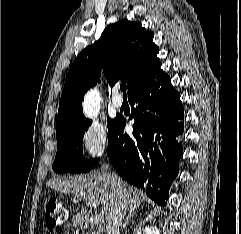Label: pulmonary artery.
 I'll list each match as a JSON object with an SVG mask.
<instances>
[{
  "mask_svg": "<svg viewBox=\"0 0 241 234\" xmlns=\"http://www.w3.org/2000/svg\"><path fill=\"white\" fill-rule=\"evenodd\" d=\"M111 101H112V105L115 108H120L122 106L123 100H122V97L118 94V89H115Z\"/></svg>",
  "mask_w": 241,
  "mask_h": 234,
  "instance_id": "obj_1",
  "label": "pulmonary artery"
}]
</instances>
